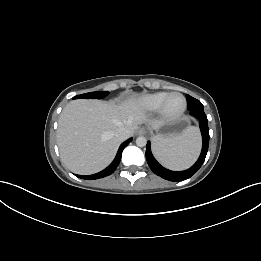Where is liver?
<instances>
[{"mask_svg": "<svg viewBox=\"0 0 261 261\" xmlns=\"http://www.w3.org/2000/svg\"><path fill=\"white\" fill-rule=\"evenodd\" d=\"M146 122L153 129L162 125L161 121H148L134 98L119 105L99 100L71 101L58 122L61 160L76 174L99 172L111 163L124 141L116 138L115 132L125 128L129 137L138 125Z\"/></svg>", "mask_w": 261, "mask_h": 261, "instance_id": "obj_1", "label": "liver"}]
</instances>
